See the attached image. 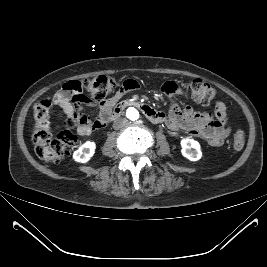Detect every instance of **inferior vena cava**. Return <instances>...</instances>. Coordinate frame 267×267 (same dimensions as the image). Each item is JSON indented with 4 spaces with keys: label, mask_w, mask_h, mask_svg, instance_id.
<instances>
[{
    "label": "inferior vena cava",
    "mask_w": 267,
    "mask_h": 267,
    "mask_svg": "<svg viewBox=\"0 0 267 267\" xmlns=\"http://www.w3.org/2000/svg\"><path fill=\"white\" fill-rule=\"evenodd\" d=\"M127 124V119L125 118H118L113 123V128L118 130L123 128Z\"/></svg>",
    "instance_id": "obj_1"
}]
</instances>
